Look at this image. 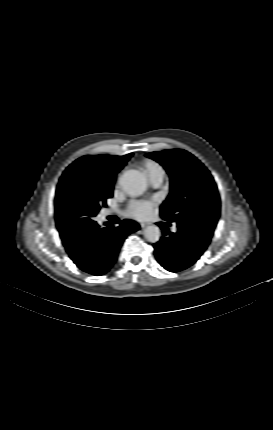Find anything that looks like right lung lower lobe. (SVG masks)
I'll return each instance as SVG.
<instances>
[{"label":"right lung lower lobe","instance_id":"obj_1","mask_svg":"<svg viewBox=\"0 0 273 430\" xmlns=\"http://www.w3.org/2000/svg\"><path fill=\"white\" fill-rule=\"evenodd\" d=\"M139 228L130 220L121 221L118 227L109 225L103 228L94 222L80 234L75 244L66 247V251L79 269L100 276L106 274L116 262L127 235Z\"/></svg>","mask_w":273,"mask_h":430}]
</instances>
